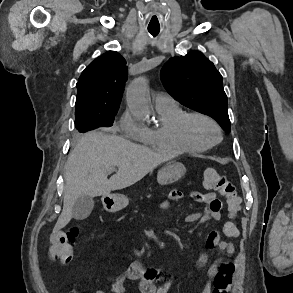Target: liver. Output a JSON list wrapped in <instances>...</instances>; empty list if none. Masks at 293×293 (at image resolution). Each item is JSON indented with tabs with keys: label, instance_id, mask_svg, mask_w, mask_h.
<instances>
[{
	"label": "liver",
	"instance_id": "obj_1",
	"mask_svg": "<svg viewBox=\"0 0 293 293\" xmlns=\"http://www.w3.org/2000/svg\"><path fill=\"white\" fill-rule=\"evenodd\" d=\"M172 157L116 135L99 131L84 134L65 165L63 210L55 230L70 222L73 205L80 196H107L111 191L127 188ZM115 167L117 173L108 179V173Z\"/></svg>",
	"mask_w": 293,
	"mask_h": 293
}]
</instances>
